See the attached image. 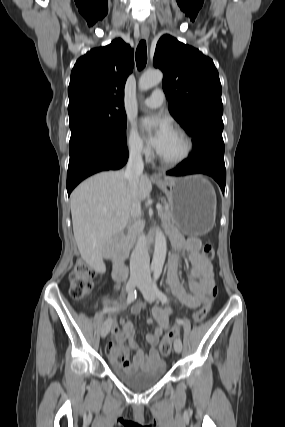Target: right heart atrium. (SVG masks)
<instances>
[{
    "mask_svg": "<svg viewBox=\"0 0 285 427\" xmlns=\"http://www.w3.org/2000/svg\"><path fill=\"white\" fill-rule=\"evenodd\" d=\"M125 144L128 152L134 157H149L150 149L133 125H129L126 131Z\"/></svg>",
    "mask_w": 285,
    "mask_h": 427,
    "instance_id": "d8ad5b80",
    "label": "right heart atrium"
}]
</instances>
